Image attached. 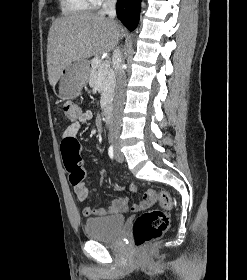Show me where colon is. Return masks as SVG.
Returning a JSON list of instances; mask_svg holds the SVG:
<instances>
[{
    "mask_svg": "<svg viewBox=\"0 0 247 280\" xmlns=\"http://www.w3.org/2000/svg\"><path fill=\"white\" fill-rule=\"evenodd\" d=\"M66 118L75 121L80 115L79 107L73 102H67L63 107ZM61 152L70 182L75 191H87L92 178H85L82 167L80 144L76 139H65L61 144ZM144 198L146 201H158L162 210L152 209L140 214L133 225V239L137 247H144L151 241L161 237L168 229V211L172 208V198L166 191L149 189Z\"/></svg>",
    "mask_w": 247,
    "mask_h": 280,
    "instance_id": "colon-1",
    "label": "colon"
}]
</instances>
